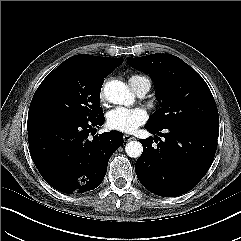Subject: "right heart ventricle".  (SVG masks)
Masks as SVG:
<instances>
[{
  "instance_id": "e07e8e85",
  "label": "right heart ventricle",
  "mask_w": 241,
  "mask_h": 241,
  "mask_svg": "<svg viewBox=\"0 0 241 241\" xmlns=\"http://www.w3.org/2000/svg\"><path fill=\"white\" fill-rule=\"evenodd\" d=\"M143 82L150 83L149 79L143 75L134 74L129 77V84L131 85L132 89L136 88Z\"/></svg>"
}]
</instances>
